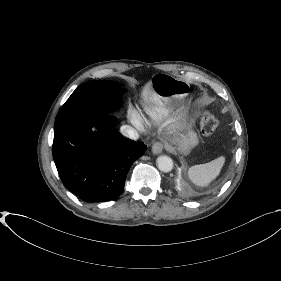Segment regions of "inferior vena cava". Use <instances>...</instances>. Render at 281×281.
Wrapping results in <instances>:
<instances>
[{
    "label": "inferior vena cava",
    "mask_w": 281,
    "mask_h": 281,
    "mask_svg": "<svg viewBox=\"0 0 281 281\" xmlns=\"http://www.w3.org/2000/svg\"><path fill=\"white\" fill-rule=\"evenodd\" d=\"M120 132L122 135H124L125 137L130 138L132 140H137L139 138L138 132L129 125L121 126Z\"/></svg>",
    "instance_id": "1"
}]
</instances>
